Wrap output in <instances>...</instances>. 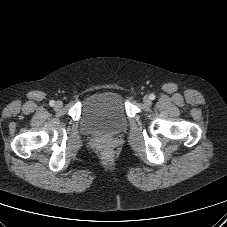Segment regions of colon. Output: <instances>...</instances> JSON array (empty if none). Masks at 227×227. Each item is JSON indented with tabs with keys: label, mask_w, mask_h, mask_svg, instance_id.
Instances as JSON below:
<instances>
[{
	"label": "colon",
	"mask_w": 227,
	"mask_h": 227,
	"mask_svg": "<svg viewBox=\"0 0 227 227\" xmlns=\"http://www.w3.org/2000/svg\"><path fill=\"white\" fill-rule=\"evenodd\" d=\"M104 156H105L106 158H109V157L111 156V153H110L109 151H105V152H104Z\"/></svg>",
	"instance_id": "1"
}]
</instances>
